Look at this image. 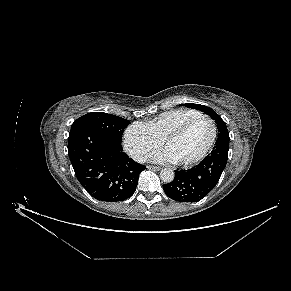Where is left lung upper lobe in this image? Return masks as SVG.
Segmentation results:
<instances>
[{"label":"left lung upper lobe","mask_w":291,"mask_h":291,"mask_svg":"<svg viewBox=\"0 0 291 291\" xmlns=\"http://www.w3.org/2000/svg\"><path fill=\"white\" fill-rule=\"evenodd\" d=\"M185 105L186 107L192 108V109H197L205 112L207 115H209L215 122L217 123L218 127V140H227L229 141V133L226 127L225 122L222 120V118L210 107L200 105V104H193V103H186V104H181Z\"/></svg>","instance_id":"obj_1"}]
</instances>
